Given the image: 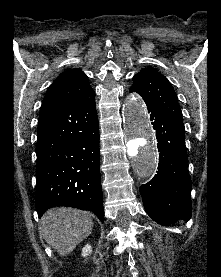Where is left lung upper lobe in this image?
Wrapping results in <instances>:
<instances>
[{
  "mask_svg": "<svg viewBox=\"0 0 221 277\" xmlns=\"http://www.w3.org/2000/svg\"><path fill=\"white\" fill-rule=\"evenodd\" d=\"M133 81L130 89L140 94L143 99L153 102L176 124L184 128L177 95L161 73L153 68H146L137 73Z\"/></svg>",
  "mask_w": 221,
  "mask_h": 277,
  "instance_id": "left-lung-upper-lobe-1",
  "label": "left lung upper lobe"
}]
</instances>
